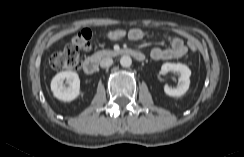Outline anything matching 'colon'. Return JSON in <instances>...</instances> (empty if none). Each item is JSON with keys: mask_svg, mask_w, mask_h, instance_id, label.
Here are the masks:
<instances>
[{"mask_svg": "<svg viewBox=\"0 0 244 157\" xmlns=\"http://www.w3.org/2000/svg\"><path fill=\"white\" fill-rule=\"evenodd\" d=\"M128 36V30L114 29L106 33L110 40H121ZM92 33L89 29L79 31L72 39L71 43L59 52L51 55L49 59L50 66L55 70H75L80 65V50H86L90 47ZM190 51L196 49L195 45L189 44Z\"/></svg>", "mask_w": 244, "mask_h": 157, "instance_id": "obj_1", "label": "colon"}]
</instances>
